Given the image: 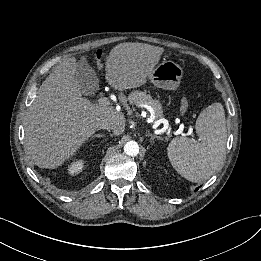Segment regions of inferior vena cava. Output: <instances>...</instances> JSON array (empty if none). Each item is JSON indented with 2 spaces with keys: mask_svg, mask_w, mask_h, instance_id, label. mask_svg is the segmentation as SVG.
<instances>
[{
  "mask_svg": "<svg viewBox=\"0 0 261 261\" xmlns=\"http://www.w3.org/2000/svg\"><path fill=\"white\" fill-rule=\"evenodd\" d=\"M98 128L99 129H105V130H108V131L113 130V126L109 122H104V123L100 124Z\"/></svg>",
  "mask_w": 261,
  "mask_h": 261,
  "instance_id": "1",
  "label": "inferior vena cava"
}]
</instances>
